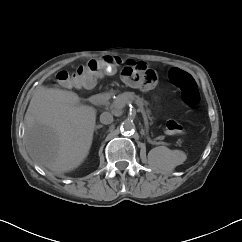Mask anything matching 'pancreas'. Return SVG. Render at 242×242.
<instances>
[{
    "instance_id": "pancreas-1",
    "label": "pancreas",
    "mask_w": 242,
    "mask_h": 242,
    "mask_svg": "<svg viewBox=\"0 0 242 242\" xmlns=\"http://www.w3.org/2000/svg\"><path fill=\"white\" fill-rule=\"evenodd\" d=\"M135 102L139 107H143L144 105L147 106L148 103L144 101L143 98H140L139 96L135 95L133 92H124L119 95L113 100L111 103V108L114 110L120 111L121 109L124 108V106L130 102ZM147 115L149 119L152 121V117H150V110L147 109Z\"/></svg>"
}]
</instances>
